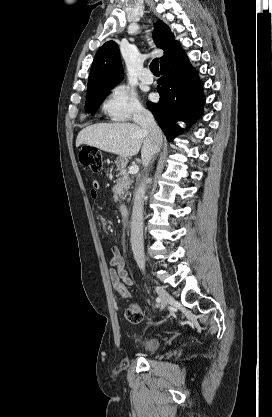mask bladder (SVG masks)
Wrapping results in <instances>:
<instances>
[{
  "mask_svg": "<svg viewBox=\"0 0 272 417\" xmlns=\"http://www.w3.org/2000/svg\"><path fill=\"white\" fill-rule=\"evenodd\" d=\"M159 346V341L155 338H151L143 343V350L147 354H154L158 350Z\"/></svg>",
  "mask_w": 272,
  "mask_h": 417,
  "instance_id": "31cf9c89",
  "label": "bladder"
}]
</instances>
